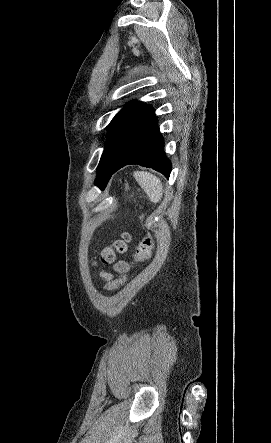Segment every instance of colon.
<instances>
[{
	"label": "colon",
	"instance_id": "1",
	"mask_svg": "<svg viewBox=\"0 0 271 443\" xmlns=\"http://www.w3.org/2000/svg\"><path fill=\"white\" fill-rule=\"evenodd\" d=\"M131 197H134L135 194L131 193ZM130 237L127 233L123 234L120 239L115 240L110 246L102 249L100 253V259L103 263L111 264L115 261L117 254H123L127 251L128 243ZM154 247V239L151 233H147V235L142 239V241L137 245L135 249V253L132 259V263H140L147 261L152 254V250ZM127 273H122L114 280L107 283L104 287V290L107 292H113L119 289L126 281Z\"/></svg>",
	"mask_w": 271,
	"mask_h": 443
}]
</instances>
